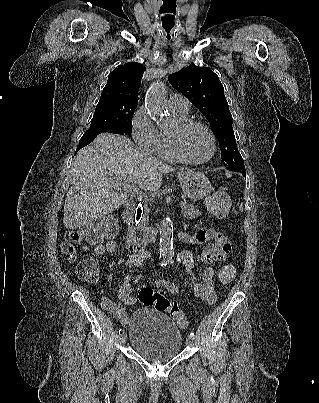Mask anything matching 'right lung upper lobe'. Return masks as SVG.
Masks as SVG:
<instances>
[{
    "label": "right lung upper lobe",
    "instance_id": "right-lung-upper-lobe-1",
    "mask_svg": "<svg viewBox=\"0 0 319 403\" xmlns=\"http://www.w3.org/2000/svg\"><path fill=\"white\" fill-rule=\"evenodd\" d=\"M145 70L137 62L126 63L114 69L108 76L99 104L122 103L137 106L138 90Z\"/></svg>",
    "mask_w": 319,
    "mask_h": 403
}]
</instances>
